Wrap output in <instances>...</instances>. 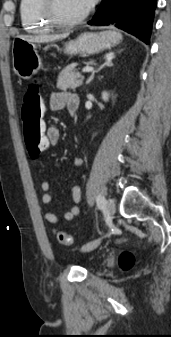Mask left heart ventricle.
Returning a JSON list of instances; mask_svg holds the SVG:
<instances>
[{
  "label": "left heart ventricle",
  "mask_w": 171,
  "mask_h": 337,
  "mask_svg": "<svg viewBox=\"0 0 171 337\" xmlns=\"http://www.w3.org/2000/svg\"><path fill=\"white\" fill-rule=\"evenodd\" d=\"M56 9L63 18H74L83 13L87 8L82 0H56Z\"/></svg>",
  "instance_id": "1"
}]
</instances>
